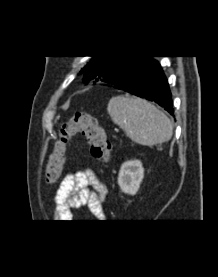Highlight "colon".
Instances as JSON below:
<instances>
[{
    "mask_svg": "<svg viewBox=\"0 0 218 277\" xmlns=\"http://www.w3.org/2000/svg\"><path fill=\"white\" fill-rule=\"evenodd\" d=\"M80 134L88 144L92 157L101 162H107L112 155V145L106 138L103 128L97 119L87 112H77L68 118L61 126L59 139L56 141L46 167V178L56 181L62 172L64 151L67 142Z\"/></svg>",
    "mask_w": 218,
    "mask_h": 277,
    "instance_id": "1",
    "label": "colon"
}]
</instances>
